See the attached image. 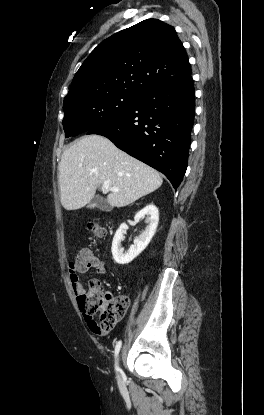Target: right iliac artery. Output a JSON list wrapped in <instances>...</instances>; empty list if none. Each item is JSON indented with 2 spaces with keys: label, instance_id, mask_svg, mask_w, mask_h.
Wrapping results in <instances>:
<instances>
[{
  "label": "right iliac artery",
  "instance_id": "obj_1",
  "mask_svg": "<svg viewBox=\"0 0 264 415\" xmlns=\"http://www.w3.org/2000/svg\"><path fill=\"white\" fill-rule=\"evenodd\" d=\"M121 345H122V342L121 341H118L116 343L115 350H114L115 357H117V355H118V353L120 351ZM116 370L118 371V367L117 366H116Z\"/></svg>",
  "mask_w": 264,
  "mask_h": 415
}]
</instances>
